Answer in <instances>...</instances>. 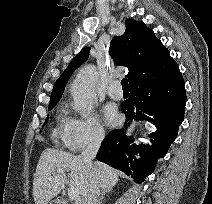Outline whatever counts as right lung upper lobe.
<instances>
[{"mask_svg": "<svg viewBox=\"0 0 212 204\" xmlns=\"http://www.w3.org/2000/svg\"><path fill=\"white\" fill-rule=\"evenodd\" d=\"M125 23V33L115 36L111 41L110 54L117 65L128 68L129 72L126 76L129 86L151 74L177 65L154 32L143 22L128 19ZM88 55L89 48H85L68 65L53 87L50 103L59 101L69 77L87 60Z\"/></svg>", "mask_w": 212, "mask_h": 204, "instance_id": "right-lung-upper-lobe-1", "label": "right lung upper lobe"}]
</instances>
